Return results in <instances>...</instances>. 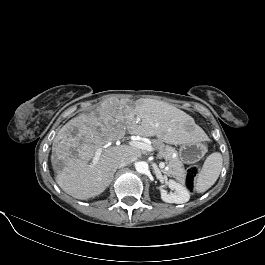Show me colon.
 <instances>
[{
  "label": "colon",
  "mask_w": 265,
  "mask_h": 265,
  "mask_svg": "<svg viewBox=\"0 0 265 265\" xmlns=\"http://www.w3.org/2000/svg\"><path fill=\"white\" fill-rule=\"evenodd\" d=\"M199 170H200V167L197 165H194V166L189 167L186 171L185 184L189 191L194 190L195 180L197 178Z\"/></svg>",
  "instance_id": "5ec220e1"
}]
</instances>
